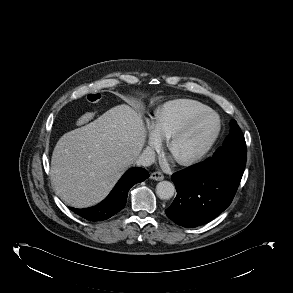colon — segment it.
<instances>
[{
  "label": "colon",
  "mask_w": 293,
  "mask_h": 293,
  "mask_svg": "<svg viewBox=\"0 0 293 293\" xmlns=\"http://www.w3.org/2000/svg\"><path fill=\"white\" fill-rule=\"evenodd\" d=\"M86 99L89 103H99L102 100V95L98 92H92L87 94ZM96 116L95 111L86 112L77 119L78 125H84L93 120Z\"/></svg>",
  "instance_id": "colon-1"
}]
</instances>
